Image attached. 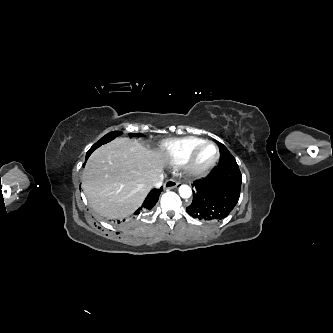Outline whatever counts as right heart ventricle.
<instances>
[{
	"label": "right heart ventricle",
	"mask_w": 333,
	"mask_h": 333,
	"mask_svg": "<svg viewBox=\"0 0 333 333\" xmlns=\"http://www.w3.org/2000/svg\"><path fill=\"white\" fill-rule=\"evenodd\" d=\"M204 141V139L198 137L171 139L158 146V153L170 165L181 166L192 151Z\"/></svg>",
	"instance_id": "e07e8e85"
}]
</instances>
